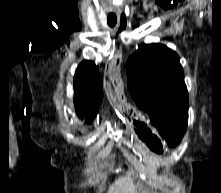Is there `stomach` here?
Listing matches in <instances>:
<instances>
[{"label":"stomach","mask_w":221,"mask_h":193,"mask_svg":"<svg viewBox=\"0 0 221 193\" xmlns=\"http://www.w3.org/2000/svg\"><path fill=\"white\" fill-rule=\"evenodd\" d=\"M129 101V98H109V103H114L115 109L123 115V120L133 130L131 138H134V142L130 152H137L139 142H145L146 152H151V155H167L161 142L165 133H156L154 125L149 120H143V115H138V110H135L137 105Z\"/></svg>","instance_id":"obj_1"}]
</instances>
